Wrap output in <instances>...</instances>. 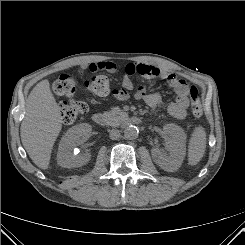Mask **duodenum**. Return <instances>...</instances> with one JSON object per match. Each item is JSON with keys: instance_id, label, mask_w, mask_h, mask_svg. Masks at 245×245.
I'll use <instances>...</instances> for the list:
<instances>
[{"instance_id": "duodenum-1", "label": "duodenum", "mask_w": 245, "mask_h": 245, "mask_svg": "<svg viewBox=\"0 0 245 245\" xmlns=\"http://www.w3.org/2000/svg\"><path fill=\"white\" fill-rule=\"evenodd\" d=\"M92 120L95 124L100 126H106L108 123L107 118L102 113L93 114ZM124 122L130 125H138L141 123V119L136 116H125Z\"/></svg>"}]
</instances>
